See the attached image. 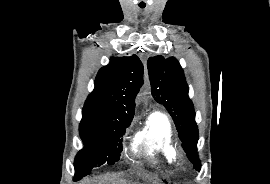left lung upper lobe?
<instances>
[{"mask_svg":"<svg viewBox=\"0 0 270 184\" xmlns=\"http://www.w3.org/2000/svg\"><path fill=\"white\" fill-rule=\"evenodd\" d=\"M147 66L152 96L172 116L187 157L194 168L200 171L201 163L197 154L198 127L183 69L174 57L165 59L163 56L150 57Z\"/></svg>","mask_w":270,"mask_h":184,"instance_id":"obj_1","label":"left lung upper lobe"}]
</instances>
